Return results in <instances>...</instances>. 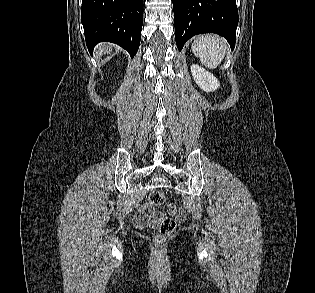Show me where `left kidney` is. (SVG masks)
I'll return each instance as SVG.
<instances>
[{"label":"left kidney","mask_w":315,"mask_h":293,"mask_svg":"<svg viewBox=\"0 0 315 293\" xmlns=\"http://www.w3.org/2000/svg\"><path fill=\"white\" fill-rule=\"evenodd\" d=\"M191 72L196 84L205 92L215 91L220 87L218 79L209 71L193 64L191 66Z\"/></svg>","instance_id":"1"}]
</instances>
